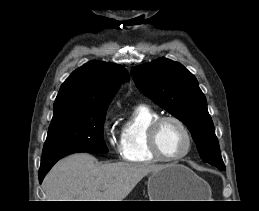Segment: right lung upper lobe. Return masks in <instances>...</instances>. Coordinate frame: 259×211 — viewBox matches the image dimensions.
Segmentation results:
<instances>
[{"label": "right lung upper lobe", "instance_id": "1", "mask_svg": "<svg viewBox=\"0 0 259 211\" xmlns=\"http://www.w3.org/2000/svg\"><path fill=\"white\" fill-rule=\"evenodd\" d=\"M129 78L117 64L92 60L75 70L61 85L54 115L70 109H107L118 86Z\"/></svg>", "mask_w": 259, "mask_h": 211}]
</instances>
